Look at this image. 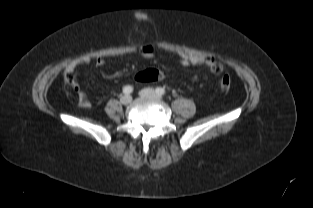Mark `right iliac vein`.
Instances as JSON below:
<instances>
[{
    "instance_id": "1",
    "label": "right iliac vein",
    "mask_w": 313,
    "mask_h": 208,
    "mask_svg": "<svg viewBox=\"0 0 313 208\" xmlns=\"http://www.w3.org/2000/svg\"><path fill=\"white\" fill-rule=\"evenodd\" d=\"M132 101V97L130 95H124L120 98V103L123 105H128Z\"/></svg>"
}]
</instances>
